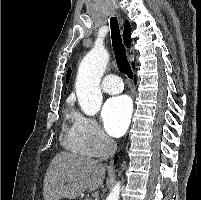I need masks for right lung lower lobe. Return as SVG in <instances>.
<instances>
[{
  "label": "right lung lower lobe",
  "instance_id": "98d812e1",
  "mask_svg": "<svg viewBox=\"0 0 201 200\" xmlns=\"http://www.w3.org/2000/svg\"><path fill=\"white\" fill-rule=\"evenodd\" d=\"M116 162H117V155L115 156L114 164H116Z\"/></svg>",
  "mask_w": 201,
  "mask_h": 200
}]
</instances>
